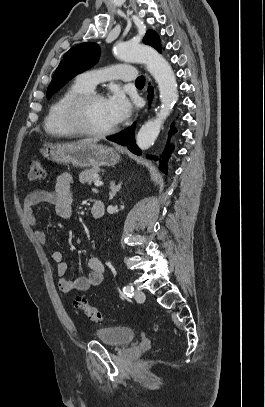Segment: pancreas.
Instances as JSON below:
<instances>
[{
  "mask_svg": "<svg viewBox=\"0 0 265 407\" xmlns=\"http://www.w3.org/2000/svg\"><path fill=\"white\" fill-rule=\"evenodd\" d=\"M99 171L100 170L98 168L86 169V170L82 171L79 174L80 183H82V184H84V183L92 184L96 180H99V177L97 176Z\"/></svg>",
  "mask_w": 265,
  "mask_h": 407,
  "instance_id": "1",
  "label": "pancreas"
}]
</instances>
